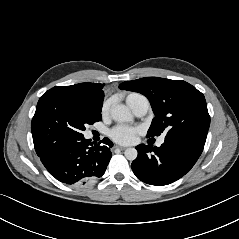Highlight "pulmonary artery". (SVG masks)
<instances>
[{
	"label": "pulmonary artery",
	"instance_id": "e3ab8cb5",
	"mask_svg": "<svg viewBox=\"0 0 239 239\" xmlns=\"http://www.w3.org/2000/svg\"><path fill=\"white\" fill-rule=\"evenodd\" d=\"M149 108L150 104L148 99L144 96H140L135 100L132 110L136 116L142 117L147 114ZM164 140V137L159 138L157 145L161 146L164 143Z\"/></svg>",
	"mask_w": 239,
	"mask_h": 239
}]
</instances>
